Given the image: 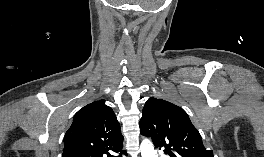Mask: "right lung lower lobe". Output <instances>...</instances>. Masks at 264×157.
I'll return each mask as SVG.
<instances>
[{
    "mask_svg": "<svg viewBox=\"0 0 264 157\" xmlns=\"http://www.w3.org/2000/svg\"><path fill=\"white\" fill-rule=\"evenodd\" d=\"M116 153H120V155H122V154L126 155V152L122 149ZM110 157H121V156H110Z\"/></svg>",
    "mask_w": 264,
    "mask_h": 157,
    "instance_id": "98d812e1",
    "label": "right lung lower lobe"
}]
</instances>
